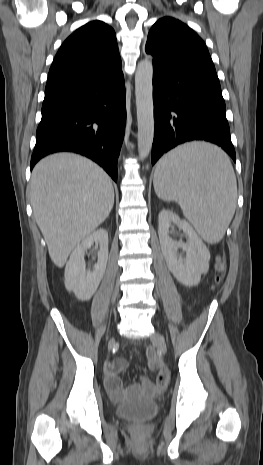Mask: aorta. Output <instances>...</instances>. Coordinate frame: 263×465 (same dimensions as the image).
<instances>
[{"label":"aorta","mask_w":263,"mask_h":465,"mask_svg":"<svg viewBox=\"0 0 263 465\" xmlns=\"http://www.w3.org/2000/svg\"><path fill=\"white\" fill-rule=\"evenodd\" d=\"M153 63L145 58L137 65L135 73V96L138 122V153L145 159L152 148L154 138V105H153Z\"/></svg>","instance_id":"1"}]
</instances>
